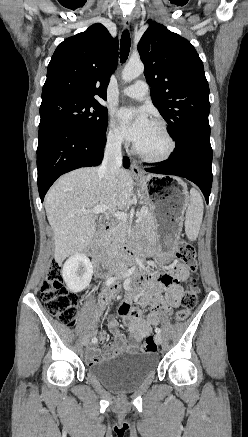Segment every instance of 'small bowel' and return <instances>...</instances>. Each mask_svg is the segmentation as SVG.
<instances>
[{"instance_id":"small-bowel-1","label":"small bowel","mask_w":248,"mask_h":437,"mask_svg":"<svg viewBox=\"0 0 248 437\" xmlns=\"http://www.w3.org/2000/svg\"><path fill=\"white\" fill-rule=\"evenodd\" d=\"M188 275L189 271L185 266L175 264L171 267V273L156 274L148 270L134 281L133 286L138 290L137 295L125 296L119 308L133 340H143L150 334L152 327L159 324L161 316L180 305L183 295L181 283ZM119 290L117 284L104 290L99 297L100 309L108 307ZM135 298H138L141 307L151 306V312L147 316L142 317L139 310L130 308V303ZM109 329L115 338L112 343L99 349L96 343L99 341L104 344L106 341L105 333H100L97 342L87 348V359L91 364L109 360L123 351H134L137 348L134 343L127 341L115 318L109 319Z\"/></svg>"}]
</instances>
